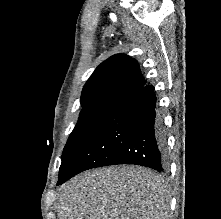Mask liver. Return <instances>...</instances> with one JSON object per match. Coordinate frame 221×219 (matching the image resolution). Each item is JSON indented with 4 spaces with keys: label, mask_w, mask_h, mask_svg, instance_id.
<instances>
[{
    "label": "liver",
    "mask_w": 221,
    "mask_h": 219,
    "mask_svg": "<svg viewBox=\"0 0 221 219\" xmlns=\"http://www.w3.org/2000/svg\"><path fill=\"white\" fill-rule=\"evenodd\" d=\"M164 180L150 169L111 166L75 176L61 187L58 219H169Z\"/></svg>",
    "instance_id": "obj_1"
}]
</instances>
